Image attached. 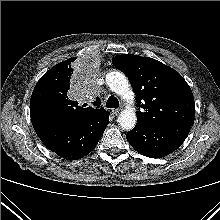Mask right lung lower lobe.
Masks as SVG:
<instances>
[{
	"instance_id": "98d812e1",
	"label": "right lung lower lobe",
	"mask_w": 220,
	"mask_h": 220,
	"mask_svg": "<svg viewBox=\"0 0 220 220\" xmlns=\"http://www.w3.org/2000/svg\"><path fill=\"white\" fill-rule=\"evenodd\" d=\"M108 119L109 113L105 111L73 123L41 120L32 124L48 149L67 160H77L95 148L109 123Z\"/></svg>"
}]
</instances>
